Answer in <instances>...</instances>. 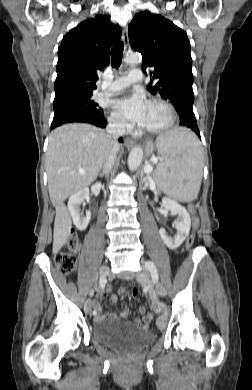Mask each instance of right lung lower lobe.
I'll use <instances>...</instances> for the list:
<instances>
[{
  "instance_id": "1",
  "label": "right lung lower lobe",
  "mask_w": 252,
  "mask_h": 390,
  "mask_svg": "<svg viewBox=\"0 0 252 390\" xmlns=\"http://www.w3.org/2000/svg\"><path fill=\"white\" fill-rule=\"evenodd\" d=\"M70 122L90 123L101 128H105L107 125V121L103 114H94L79 110H65L54 113L51 129ZM119 141L121 142L122 138H120Z\"/></svg>"
}]
</instances>
